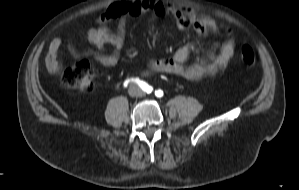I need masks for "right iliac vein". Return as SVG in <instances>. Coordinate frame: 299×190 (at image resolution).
Listing matches in <instances>:
<instances>
[{
    "instance_id": "1",
    "label": "right iliac vein",
    "mask_w": 299,
    "mask_h": 190,
    "mask_svg": "<svg viewBox=\"0 0 299 190\" xmlns=\"http://www.w3.org/2000/svg\"><path fill=\"white\" fill-rule=\"evenodd\" d=\"M129 94H134V90L133 89H131L130 91H129Z\"/></svg>"
}]
</instances>
